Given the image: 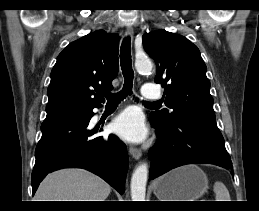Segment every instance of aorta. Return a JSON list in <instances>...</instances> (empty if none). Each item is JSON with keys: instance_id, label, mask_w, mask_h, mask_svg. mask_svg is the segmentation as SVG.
<instances>
[{"instance_id": "aorta-1", "label": "aorta", "mask_w": 259, "mask_h": 211, "mask_svg": "<svg viewBox=\"0 0 259 211\" xmlns=\"http://www.w3.org/2000/svg\"><path fill=\"white\" fill-rule=\"evenodd\" d=\"M135 67L138 72L144 73L150 72L153 64L149 59H142L136 61ZM147 178L148 166L146 163H142L132 174L130 184L132 201H145Z\"/></svg>"}]
</instances>
